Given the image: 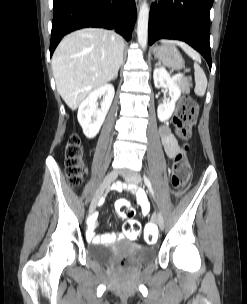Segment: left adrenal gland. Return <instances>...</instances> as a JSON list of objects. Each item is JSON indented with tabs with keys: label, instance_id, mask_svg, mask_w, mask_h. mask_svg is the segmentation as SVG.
Returning a JSON list of instances; mask_svg holds the SVG:
<instances>
[{
	"label": "left adrenal gland",
	"instance_id": "obj_1",
	"mask_svg": "<svg viewBox=\"0 0 247 304\" xmlns=\"http://www.w3.org/2000/svg\"><path fill=\"white\" fill-rule=\"evenodd\" d=\"M158 65H161V63H160V62H157V63H156V66H158Z\"/></svg>",
	"mask_w": 247,
	"mask_h": 304
}]
</instances>
